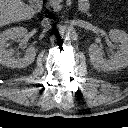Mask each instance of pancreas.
<instances>
[{"mask_svg": "<svg viewBox=\"0 0 128 128\" xmlns=\"http://www.w3.org/2000/svg\"><path fill=\"white\" fill-rule=\"evenodd\" d=\"M61 1L62 0H48V6L52 7L53 11H60L62 9Z\"/></svg>", "mask_w": 128, "mask_h": 128, "instance_id": "pancreas-1", "label": "pancreas"}]
</instances>
